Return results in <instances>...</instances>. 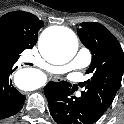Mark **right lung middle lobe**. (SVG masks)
Here are the masks:
<instances>
[{"label":"right lung middle lobe","mask_w":124,"mask_h":124,"mask_svg":"<svg viewBox=\"0 0 124 124\" xmlns=\"http://www.w3.org/2000/svg\"><path fill=\"white\" fill-rule=\"evenodd\" d=\"M17 60L16 50L9 40L0 36V62L14 63Z\"/></svg>","instance_id":"dd1d6c3e"}]
</instances>
